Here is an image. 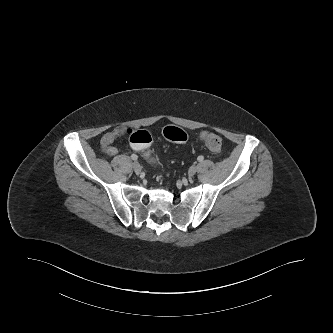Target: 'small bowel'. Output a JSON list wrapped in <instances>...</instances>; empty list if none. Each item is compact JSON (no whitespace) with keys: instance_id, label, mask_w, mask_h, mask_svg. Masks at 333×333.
<instances>
[{"instance_id":"c3829d8e","label":"small bowel","mask_w":333,"mask_h":333,"mask_svg":"<svg viewBox=\"0 0 333 333\" xmlns=\"http://www.w3.org/2000/svg\"><path fill=\"white\" fill-rule=\"evenodd\" d=\"M133 135V130L130 127H118L110 132L105 133L100 140L101 151L107 157H114L118 154V149L113 146L115 140L125 137L130 138Z\"/></svg>"}]
</instances>
